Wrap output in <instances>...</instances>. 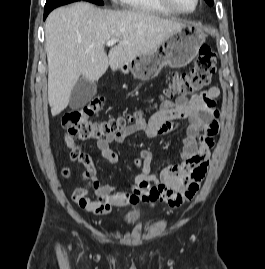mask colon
<instances>
[{"instance_id": "1", "label": "colon", "mask_w": 265, "mask_h": 269, "mask_svg": "<svg viewBox=\"0 0 265 269\" xmlns=\"http://www.w3.org/2000/svg\"><path fill=\"white\" fill-rule=\"evenodd\" d=\"M216 71V54L209 45L201 46L194 67L189 72H173L170 84L164 93L165 99H171L174 95H192L206 89ZM104 105V98L97 97L81 108L67 112L62 118L64 139L66 146L73 140H88L93 138L115 136L125 127L140 120L139 115L125 117H112L96 122L91 117L99 112ZM217 132V126L213 124L210 134ZM196 193L194 187L190 188L189 198ZM149 197L153 200L170 199L171 193L163 187L151 186L148 189Z\"/></svg>"}]
</instances>
